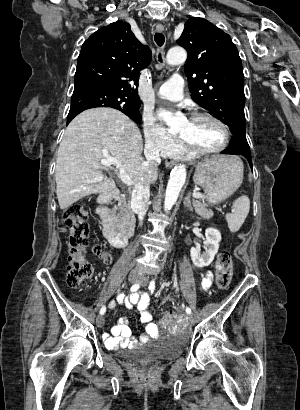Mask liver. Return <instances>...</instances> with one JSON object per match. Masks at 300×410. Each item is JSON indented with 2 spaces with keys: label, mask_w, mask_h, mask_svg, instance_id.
I'll return each instance as SVG.
<instances>
[{
  "label": "liver",
  "mask_w": 300,
  "mask_h": 410,
  "mask_svg": "<svg viewBox=\"0 0 300 410\" xmlns=\"http://www.w3.org/2000/svg\"><path fill=\"white\" fill-rule=\"evenodd\" d=\"M143 141L139 128L125 114L112 108H94L76 116L65 130L58 149L55 180L59 206L67 209L81 198L115 189V182L104 178L103 152L118 160L115 173L124 169L132 182L141 178ZM157 169L149 166L145 181L157 180Z\"/></svg>",
  "instance_id": "6515ba94"
}]
</instances>
